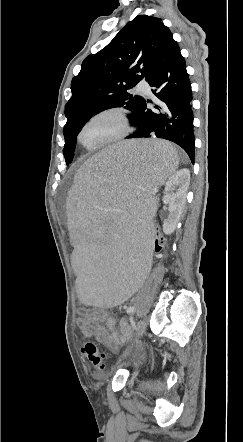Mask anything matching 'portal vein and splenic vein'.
Here are the masks:
<instances>
[{"mask_svg":"<svg viewBox=\"0 0 243 442\" xmlns=\"http://www.w3.org/2000/svg\"><path fill=\"white\" fill-rule=\"evenodd\" d=\"M152 194H155L156 193V191L155 190H153L152 192H151Z\"/></svg>","mask_w":243,"mask_h":442,"instance_id":"1","label":"portal vein and splenic vein"}]
</instances>
